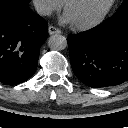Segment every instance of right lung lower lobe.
<instances>
[{"mask_svg": "<svg viewBox=\"0 0 128 128\" xmlns=\"http://www.w3.org/2000/svg\"><path fill=\"white\" fill-rule=\"evenodd\" d=\"M24 0H0V82L19 84L37 69L47 22Z\"/></svg>", "mask_w": 128, "mask_h": 128, "instance_id": "1", "label": "right lung lower lobe"}]
</instances>
